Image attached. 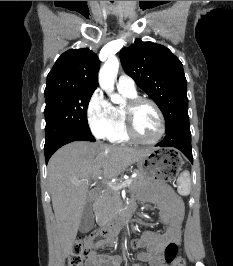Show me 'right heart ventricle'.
<instances>
[{
	"instance_id": "right-heart-ventricle-1",
	"label": "right heart ventricle",
	"mask_w": 233,
	"mask_h": 266,
	"mask_svg": "<svg viewBox=\"0 0 233 266\" xmlns=\"http://www.w3.org/2000/svg\"><path fill=\"white\" fill-rule=\"evenodd\" d=\"M119 91L127 98H134L137 97L136 92L135 93H128L123 90ZM114 119L116 121V130L114 133L108 138L113 143H127L130 141V138L127 135L126 127H125V121H124V115L122 107L120 106H112Z\"/></svg>"
}]
</instances>
